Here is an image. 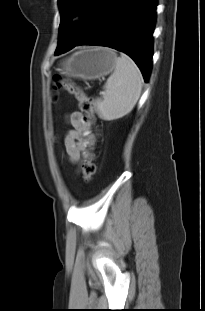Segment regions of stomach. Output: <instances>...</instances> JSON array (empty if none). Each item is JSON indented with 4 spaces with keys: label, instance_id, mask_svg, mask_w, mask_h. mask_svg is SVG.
<instances>
[{
    "label": "stomach",
    "instance_id": "obj_1",
    "mask_svg": "<svg viewBox=\"0 0 205 311\" xmlns=\"http://www.w3.org/2000/svg\"><path fill=\"white\" fill-rule=\"evenodd\" d=\"M116 53L109 48H87L75 52L61 62L59 71L68 77L95 80L115 69Z\"/></svg>",
    "mask_w": 205,
    "mask_h": 311
}]
</instances>
